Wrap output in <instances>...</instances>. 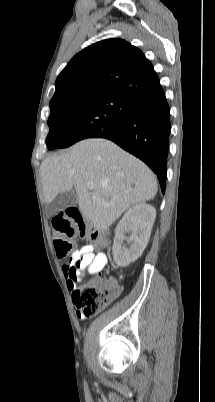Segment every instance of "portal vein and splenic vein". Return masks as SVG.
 <instances>
[{
	"label": "portal vein and splenic vein",
	"instance_id": "portal-vein-and-splenic-vein-1",
	"mask_svg": "<svg viewBox=\"0 0 215 402\" xmlns=\"http://www.w3.org/2000/svg\"><path fill=\"white\" fill-rule=\"evenodd\" d=\"M86 186H87V188L90 189V190L93 189V185H92L91 183H87ZM93 198H94V200H99V199H97V197H96L95 195H93Z\"/></svg>",
	"mask_w": 215,
	"mask_h": 402
}]
</instances>
